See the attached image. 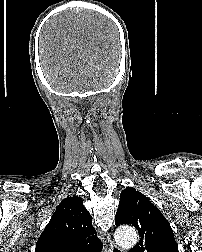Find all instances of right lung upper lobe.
Segmentation results:
<instances>
[{"mask_svg":"<svg viewBox=\"0 0 202 252\" xmlns=\"http://www.w3.org/2000/svg\"><path fill=\"white\" fill-rule=\"evenodd\" d=\"M92 217L78 196L65 198L41 233L35 252H100Z\"/></svg>","mask_w":202,"mask_h":252,"instance_id":"obj_1","label":"right lung upper lobe"}]
</instances>
